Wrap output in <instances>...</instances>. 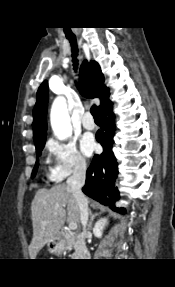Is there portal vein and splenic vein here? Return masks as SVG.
<instances>
[{
    "instance_id": "obj_1",
    "label": "portal vein and splenic vein",
    "mask_w": 175,
    "mask_h": 287,
    "mask_svg": "<svg viewBox=\"0 0 175 287\" xmlns=\"http://www.w3.org/2000/svg\"><path fill=\"white\" fill-rule=\"evenodd\" d=\"M69 228H70L71 230H76V229H77V224H76L75 222H70V223H69Z\"/></svg>"
}]
</instances>
